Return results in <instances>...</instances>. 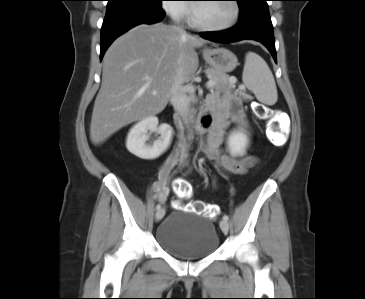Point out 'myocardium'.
<instances>
[{
    "mask_svg": "<svg viewBox=\"0 0 365 299\" xmlns=\"http://www.w3.org/2000/svg\"><path fill=\"white\" fill-rule=\"evenodd\" d=\"M229 1L232 3L233 9H234L233 17L229 23L220 25V26H210V25H206V24L200 22L197 18L196 12H195V6L193 5L191 8L192 25L201 30L208 31V32H221V31H226V30L231 29L239 21L240 14H241V8L238 3V0H229Z\"/></svg>",
    "mask_w": 365,
    "mask_h": 299,
    "instance_id": "1",
    "label": "myocardium"
}]
</instances>
